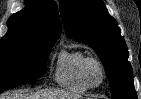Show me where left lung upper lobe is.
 Masks as SVG:
<instances>
[{
    "label": "left lung upper lobe",
    "instance_id": "5c2ea615",
    "mask_svg": "<svg viewBox=\"0 0 141 99\" xmlns=\"http://www.w3.org/2000/svg\"><path fill=\"white\" fill-rule=\"evenodd\" d=\"M67 35L92 47L102 60L113 99H137L128 49L102 0H61Z\"/></svg>",
    "mask_w": 141,
    "mask_h": 99
}]
</instances>
